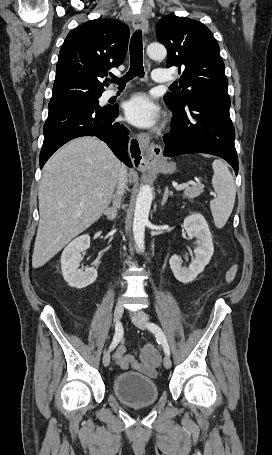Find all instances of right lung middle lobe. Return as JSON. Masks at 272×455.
Segmentation results:
<instances>
[{
    "label": "right lung middle lobe",
    "instance_id": "1",
    "mask_svg": "<svg viewBox=\"0 0 272 455\" xmlns=\"http://www.w3.org/2000/svg\"><path fill=\"white\" fill-rule=\"evenodd\" d=\"M100 96L101 95H93V96L77 97V98H71V99L62 100V101L50 102L49 103V114L58 112L60 110L71 109V108H77V109H89L92 107H95L97 109L107 108V107L100 108L99 102H98V98H100Z\"/></svg>",
    "mask_w": 272,
    "mask_h": 455
}]
</instances>
